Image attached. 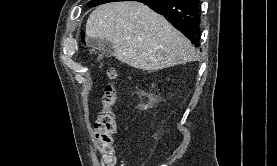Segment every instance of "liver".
Segmentation results:
<instances>
[{"instance_id":"liver-1","label":"liver","mask_w":277,"mask_h":166,"mask_svg":"<svg viewBox=\"0 0 277 166\" xmlns=\"http://www.w3.org/2000/svg\"><path fill=\"white\" fill-rule=\"evenodd\" d=\"M86 35L110 41L115 58L137 69L160 70L199 58L180 31L139 2L98 6L87 20Z\"/></svg>"}]
</instances>
